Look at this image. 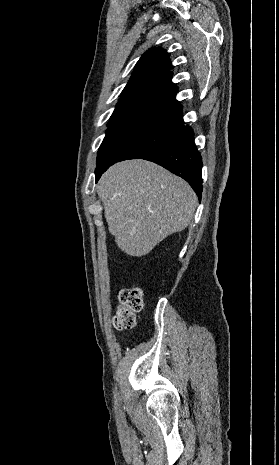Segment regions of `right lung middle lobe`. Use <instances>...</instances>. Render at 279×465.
I'll return each mask as SVG.
<instances>
[{
	"mask_svg": "<svg viewBox=\"0 0 279 465\" xmlns=\"http://www.w3.org/2000/svg\"><path fill=\"white\" fill-rule=\"evenodd\" d=\"M181 126L143 122L110 126L98 151L97 168L127 159H143L172 143Z\"/></svg>",
	"mask_w": 279,
	"mask_h": 465,
	"instance_id": "1",
	"label": "right lung middle lobe"
}]
</instances>
